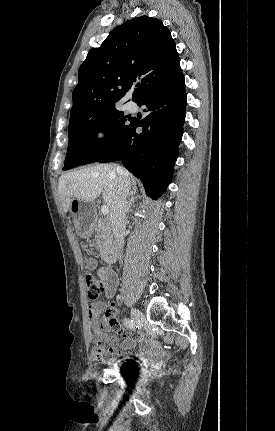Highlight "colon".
Instances as JSON below:
<instances>
[{
  "label": "colon",
  "instance_id": "1",
  "mask_svg": "<svg viewBox=\"0 0 275 431\" xmlns=\"http://www.w3.org/2000/svg\"><path fill=\"white\" fill-rule=\"evenodd\" d=\"M86 284L87 294L91 300L98 299L105 289L104 282L102 281V279L94 273L87 274Z\"/></svg>",
  "mask_w": 275,
  "mask_h": 431
}]
</instances>
